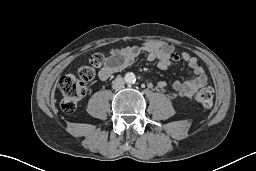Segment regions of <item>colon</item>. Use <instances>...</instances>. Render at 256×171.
I'll list each match as a JSON object with an SVG mask.
<instances>
[{
	"instance_id": "1",
	"label": "colon",
	"mask_w": 256,
	"mask_h": 171,
	"mask_svg": "<svg viewBox=\"0 0 256 171\" xmlns=\"http://www.w3.org/2000/svg\"><path fill=\"white\" fill-rule=\"evenodd\" d=\"M103 62L104 55L97 52L91 58V66H81L77 76L68 74L60 79L58 88L62 95L61 107L65 113L70 114L75 110L77 103L87 92V83L95 77L94 67ZM194 98L203 107L210 108L214 103V90L211 86H202L194 92Z\"/></svg>"
}]
</instances>
